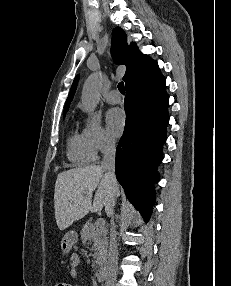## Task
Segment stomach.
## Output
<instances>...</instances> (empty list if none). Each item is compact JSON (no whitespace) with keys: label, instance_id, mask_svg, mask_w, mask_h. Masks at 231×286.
Instances as JSON below:
<instances>
[{"label":"stomach","instance_id":"0dacf381","mask_svg":"<svg viewBox=\"0 0 231 286\" xmlns=\"http://www.w3.org/2000/svg\"><path fill=\"white\" fill-rule=\"evenodd\" d=\"M78 235L75 231L67 232L61 241V250L64 253H68L72 246L77 242Z\"/></svg>","mask_w":231,"mask_h":286}]
</instances>
